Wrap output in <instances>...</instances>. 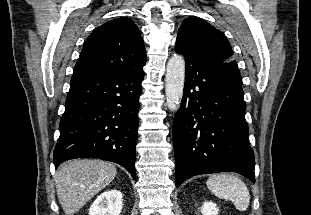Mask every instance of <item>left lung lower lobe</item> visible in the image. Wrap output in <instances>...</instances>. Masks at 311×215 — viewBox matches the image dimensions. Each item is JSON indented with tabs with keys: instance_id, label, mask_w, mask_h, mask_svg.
Instances as JSON below:
<instances>
[{
	"instance_id": "0a47b994",
	"label": "left lung lower lobe",
	"mask_w": 311,
	"mask_h": 215,
	"mask_svg": "<svg viewBox=\"0 0 311 215\" xmlns=\"http://www.w3.org/2000/svg\"><path fill=\"white\" fill-rule=\"evenodd\" d=\"M175 50L186 63L173 122L176 187L195 175L230 171L255 182L242 85L179 45Z\"/></svg>"
}]
</instances>
